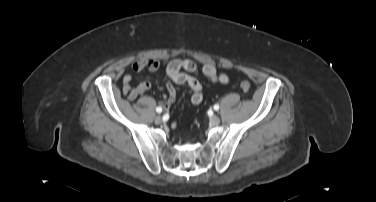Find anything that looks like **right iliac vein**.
I'll list each match as a JSON object with an SVG mask.
<instances>
[{
	"instance_id": "right-iliac-vein-1",
	"label": "right iliac vein",
	"mask_w": 376,
	"mask_h": 202,
	"mask_svg": "<svg viewBox=\"0 0 376 202\" xmlns=\"http://www.w3.org/2000/svg\"><path fill=\"white\" fill-rule=\"evenodd\" d=\"M154 120H155V123L160 124L162 122V117L158 115L155 117Z\"/></svg>"
}]
</instances>
